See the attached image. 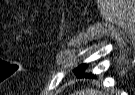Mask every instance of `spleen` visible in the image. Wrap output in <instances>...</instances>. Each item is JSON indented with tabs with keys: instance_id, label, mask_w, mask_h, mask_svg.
I'll list each match as a JSON object with an SVG mask.
<instances>
[{
	"instance_id": "obj_1",
	"label": "spleen",
	"mask_w": 135,
	"mask_h": 95,
	"mask_svg": "<svg viewBox=\"0 0 135 95\" xmlns=\"http://www.w3.org/2000/svg\"><path fill=\"white\" fill-rule=\"evenodd\" d=\"M73 95H102L101 93H99L96 90L93 89H85V90H81V91H77L75 94Z\"/></svg>"
}]
</instances>
